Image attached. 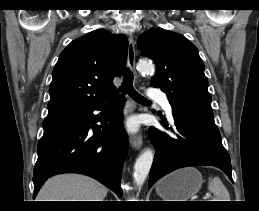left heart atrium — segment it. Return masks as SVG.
Segmentation results:
<instances>
[{"mask_svg":"<svg viewBox=\"0 0 259 211\" xmlns=\"http://www.w3.org/2000/svg\"><path fill=\"white\" fill-rule=\"evenodd\" d=\"M128 126H129V128L133 129V128L135 127V124H134V122H130V123L128 124Z\"/></svg>","mask_w":259,"mask_h":211,"instance_id":"left-heart-atrium-1","label":"left heart atrium"}]
</instances>
